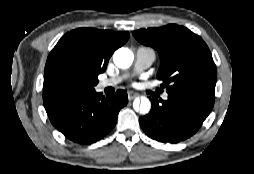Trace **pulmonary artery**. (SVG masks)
I'll use <instances>...</instances> for the list:
<instances>
[{
    "instance_id": "1",
    "label": "pulmonary artery",
    "mask_w": 254,
    "mask_h": 174,
    "mask_svg": "<svg viewBox=\"0 0 254 174\" xmlns=\"http://www.w3.org/2000/svg\"><path fill=\"white\" fill-rule=\"evenodd\" d=\"M155 58H156V55L153 49L148 47H139L136 52L135 69L137 71H142L148 68L155 61ZM126 77L127 75L104 78L99 82V88L105 89L108 87L116 86L119 83H121L122 80L125 79ZM163 99L167 100L168 95L164 94Z\"/></svg>"
}]
</instances>
